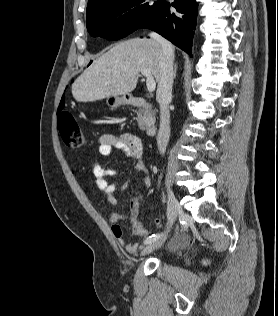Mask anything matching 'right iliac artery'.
<instances>
[{
	"mask_svg": "<svg viewBox=\"0 0 278 316\" xmlns=\"http://www.w3.org/2000/svg\"><path fill=\"white\" fill-rule=\"evenodd\" d=\"M162 236V234H152L151 236H149L145 241L144 243L145 244H149L153 241H155L156 239L160 238Z\"/></svg>",
	"mask_w": 278,
	"mask_h": 316,
	"instance_id": "1",
	"label": "right iliac artery"
}]
</instances>
